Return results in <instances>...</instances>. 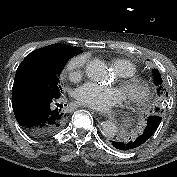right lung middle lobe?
<instances>
[{"instance_id":"1","label":"right lung middle lobe","mask_w":177,"mask_h":177,"mask_svg":"<svg viewBox=\"0 0 177 177\" xmlns=\"http://www.w3.org/2000/svg\"><path fill=\"white\" fill-rule=\"evenodd\" d=\"M66 62L49 70L27 69L14 80L13 87L59 96L62 93L59 78Z\"/></svg>"}]
</instances>
